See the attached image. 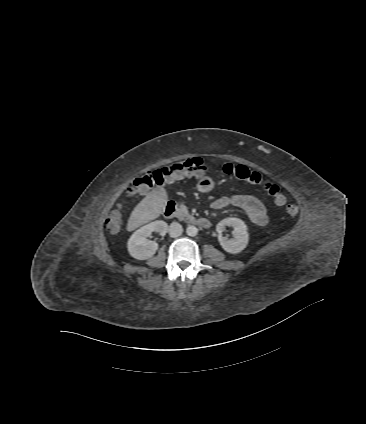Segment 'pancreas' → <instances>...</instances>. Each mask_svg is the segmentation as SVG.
<instances>
[{
    "label": "pancreas",
    "mask_w": 366,
    "mask_h": 424,
    "mask_svg": "<svg viewBox=\"0 0 366 424\" xmlns=\"http://www.w3.org/2000/svg\"><path fill=\"white\" fill-rule=\"evenodd\" d=\"M180 210L183 212V214L187 217V218H189V219H192L193 218V216L192 215H190L189 214V212H188V210H187V207L185 206V205H180Z\"/></svg>",
    "instance_id": "obj_1"
}]
</instances>
